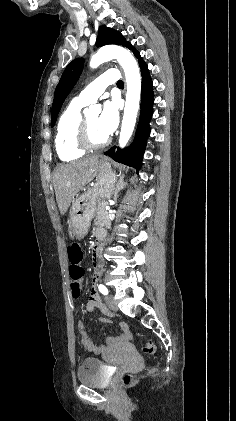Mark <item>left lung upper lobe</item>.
<instances>
[{
  "instance_id": "5c2ea615",
  "label": "left lung upper lobe",
  "mask_w": 236,
  "mask_h": 421,
  "mask_svg": "<svg viewBox=\"0 0 236 421\" xmlns=\"http://www.w3.org/2000/svg\"><path fill=\"white\" fill-rule=\"evenodd\" d=\"M108 44L122 45L129 49H134L131 43L127 42L122 34L114 29L100 26L96 41V46L100 47ZM84 66L83 58H76L65 68L61 79L55 89L54 100L51 110V126H54L60 108L73 86L77 82Z\"/></svg>"
}]
</instances>
